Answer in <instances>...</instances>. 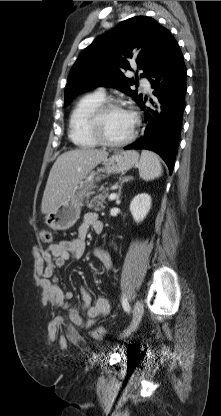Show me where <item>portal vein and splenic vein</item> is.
Masks as SVG:
<instances>
[{
  "label": "portal vein and splenic vein",
  "instance_id": "obj_1",
  "mask_svg": "<svg viewBox=\"0 0 221 416\" xmlns=\"http://www.w3.org/2000/svg\"><path fill=\"white\" fill-rule=\"evenodd\" d=\"M116 197H117V194L116 193H111L109 195V200H114V199H116Z\"/></svg>",
  "mask_w": 221,
  "mask_h": 416
}]
</instances>
